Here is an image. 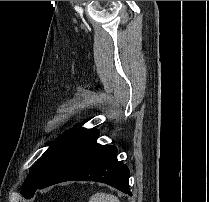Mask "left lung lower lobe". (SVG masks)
Segmentation results:
<instances>
[{"label":"left lung lower lobe","mask_w":209,"mask_h":202,"mask_svg":"<svg viewBox=\"0 0 209 202\" xmlns=\"http://www.w3.org/2000/svg\"><path fill=\"white\" fill-rule=\"evenodd\" d=\"M98 136L97 130L76 129L58 151L37 189L65 181L83 180L106 183L132 195L128 184L129 169L117 160V149L114 146L96 143Z\"/></svg>","instance_id":"left-lung-lower-lobe-1"}]
</instances>
